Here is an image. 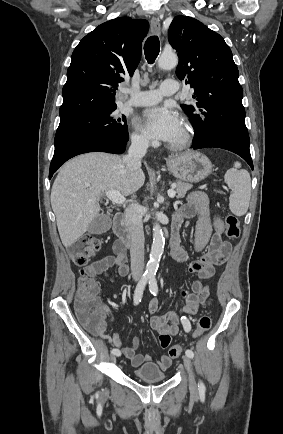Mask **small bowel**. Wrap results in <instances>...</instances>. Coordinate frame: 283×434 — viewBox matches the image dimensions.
I'll use <instances>...</instances> for the list:
<instances>
[{"mask_svg": "<svg viewBox=\"0 0 283 434\" xmlns=\"http://www.w3.org/2000/svg\"><path fill=\"white\" fill-rule=\"evenodd\" d=\"M198 217L195 230L194 248L196 252L207 250L203 255L188 264V272L196 274L198 279L192 284L191 291L181 287L180 293L185 302V306L180 312L170 311L161 315H153L150 325L159 334V343L162 348L170 345L171 337L176 335L179 329L181 315H194L200 306H204L205 300L209 295V287L205 280L210 279L215 274V267L222 265L229 258L232 246L224 239V223L222 219L213 214L209 205V200L202 191H193L187 198L185 204L181 206L176 214L173 225L180 226L181 222L187 218ZM171 255L180 263L188 262V253L178 241L171 244ZM117 267V272L124 277L129 272L128 258L126 249L116 241L113 245V254L106 256L86 267V271L93 277L103 275L108 277V270ZM158 309V302L153 299L148 305V312L155 314ZM104 321L102 330L106 326H111L113 316L110 310L102 306ZM111 342L120 352L131 361L133 367H140L152 360L151 356L136 353L139 346V338L136 337L129 346L122 347V342L118 333L114 332ZM172 362V358L167 354H162L157 363L161 370H167Z\"/></svg>", "mask_w": 283, "mask_h": 434, "instance_id": "obj_1", "label": "small bowel"}]
</instances>
